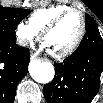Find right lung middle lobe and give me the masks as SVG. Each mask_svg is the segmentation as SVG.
<instances>
[{"mask_svg":"<svg viewBox=\"0 0 103 103\" xmlns=\"http://www.w3.org/2000/svg\"><path fill=\"white\" fill-rule=\"evenodd\" d=\"M30 10L0 7V39L16 40L15 29Z\"/></svg>","mask_w":103,"mask_h":103,"instance_id":"1","label":"right lung middle lobe"}]
</instances>
